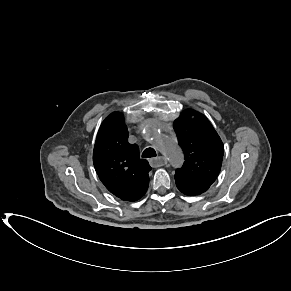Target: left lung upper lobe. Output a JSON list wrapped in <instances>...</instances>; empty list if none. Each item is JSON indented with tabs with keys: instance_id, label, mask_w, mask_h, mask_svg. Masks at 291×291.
I'll list each match as a JSON object with an SVG mask.
<instances>
[{
	"instance_id": "obj_1",
	"label": "left lung upper lobe",
	"mask_w": 291,
	"mask_h": 291,
	"mask_svg": "<svg viewBox=\"0 0 291 291\" xmlns=\"http://www.w3.org/2000/svg\"><path fill=\"white\" fill-rule=\"evenodd\" d=\"M173 127L185 154L184 165L175 173L177 188L188 196L200 195L219 175L223 143L209 120L191 109L183 111Z\"/></svg>"
}]
</instances>
